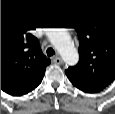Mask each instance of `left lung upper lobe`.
<instances>
[{
	"instance_id": "left-lung-upper-lobe-1",
	"label": "left lung upper lobe",
	"mask_w": 115,
	"mask_h": 114,
	"mask_svg": "<svg viewBox=\"0 0 115 114\" xmlns=\"http://www.w3.org/2000/svg\"><path fill=\"white\" fill-rule=\"evenodd\" d=\"M79 62L65 73L74 85L105 88L115 79V18L88 16L75 24Z\"/></svg>"
}]
</instances>
